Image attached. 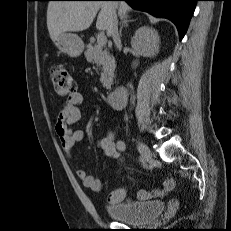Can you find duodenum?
Instances as JSON below:
<instances>
[{"label": "duodenum", "mask_w": 231, "mask_h": 231, "mask_svg": "<svg viewBox=\"0 0 231 231\" xmlns=\"http://www.w3.org/2000/svg\"><path fill=\"white\" fill-rule=\"evenodd\" d=\"M126 93L127 90L123 86H120L117 89L111 91L108 95L110 106L115 110L122 109L125 103Z\"/></svg>", "instance_id": "1"}]
</instances>
